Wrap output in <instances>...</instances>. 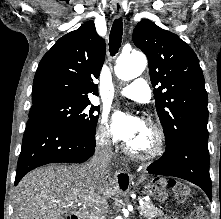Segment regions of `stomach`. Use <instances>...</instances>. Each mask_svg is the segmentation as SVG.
<instances>
[{"mask_svg":"<svg viewBox=\"0 0 221 219\" xmlns=\"http://www.w3.org/2000/svg\"><path fill=\"white\" fill-rule=\"evenodd\" d=\"M167 183H176V178H151L145 186L147 195L152 199H173V194H167V191H172V186H167Z\"/></svg>","mask_w":221,"mask_h":219,"instance_id":"stomach-1","label":"stomach"}]
</instances>
